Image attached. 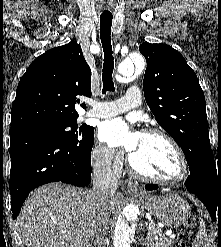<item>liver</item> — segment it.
I'll return each mask as SVG.
<instances>
[{"label": "liver", "instance_id": "1", "mask_svg": "<svg viewBox=\"0 0 221 247\" xmlns=\"http://www.w3.org/2000/svg\"><path fill=\"white\" fill-rule=\"evenodd\" d=\"M119 205L120 197L113 195L106 208V234L110 213ZM101 220L90 191L50 183L30 193L17 226L27 247H91Z\"/></svg>", "mask_w": 221, "mask_h": 247}]
</instances>
